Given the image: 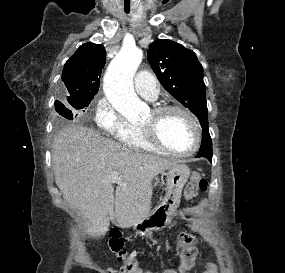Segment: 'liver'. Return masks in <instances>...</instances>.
I'll return each instance as SVG.
<instances>
[{
    "label": "liver",
    "mask_w": 285,
    "mask_h": 273,
    "mask_svg": "<svg viewBox=\"0 0 285 273\" xmlns=\"http://www.w3.org/2000/svg\"><path fill=\"white\" fill-rule=\"evenodd\" d=\"M178 161L131 150L81 125L64 127L53 142L52 164L65 201L86 219L85 233L106 234L110 220L128 228L151 210L152 180ZM118 172L114 194L110 177Z\"/></svg>",
    "instance_id": "1"
}]
</instances>
